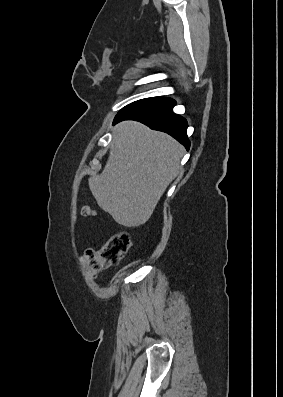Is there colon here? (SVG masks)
Returning <instances> with one entry per match:
<instances>
[{"instance_id":"obj_1","label":"colon","mask_w":283,"mask_h":397,"mask_svg":"<svg viewBox=\"0 0 283 397\" xmlns=\"http://www.w3.org/2000/svg\"><path fill=\"white\" fill-rule=\"evenodd\" d=\"M82 213L84 216L95 215L94 210L89 206H84ZM131 244L129 234L119 232L111 236L100 248L86 250L83 261L88 272L95 277L100 271L118 264L129 251Z\"/></svg>"}]
</instances>
